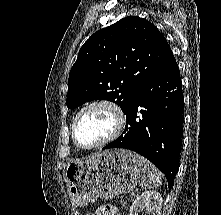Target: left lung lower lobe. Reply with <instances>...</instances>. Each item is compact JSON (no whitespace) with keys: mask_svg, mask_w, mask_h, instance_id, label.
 I'll return each instance as SVG.
<instances>
[{"mask_svg":"<svg viewBox=\"0 0 221 215\" xmlns=\"http://www.w3.org/2000/svg\"><path fill=\"white\" fill-rule=\"evenodd\" d=\"M182 120L180 72L170 51L130 103L123 134L103 150L125 148L141 154L165 174L171 188L179 165Z\"/></svg>","mask_w":221,"mask_h":215,"instance_id":"1","label":"left lung lower lobe"}]
</instances>
